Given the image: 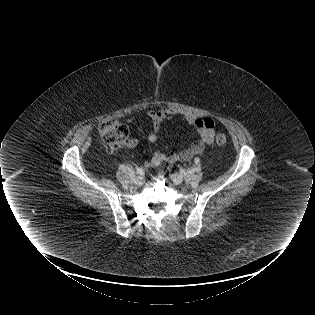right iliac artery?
Returning <instances> with one entry per match:
<instances>
[{
  "mask_svg": "<svg viewBox=\"0 0 315 315\" xmlns=\"http://www.w3.org/2000/svg\"><path fill=\"white\" fill-rule=\"evenodd\" d=\"M136 173H137L138 175H142V174L144 173L143 168H142V167H138L137 170H136Z\"/></svg>",
  "mask_w": 315,
  "mask_h": 315,
  "instance_id": "obj_1",
  "label": "right iliac artery"
}]
</instances>
